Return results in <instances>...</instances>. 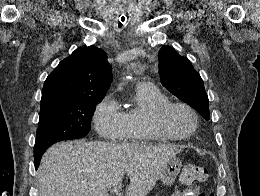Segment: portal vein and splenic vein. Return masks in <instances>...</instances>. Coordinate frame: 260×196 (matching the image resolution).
Returning a JSON list of instances; mask_svg holds the SVG:
<instances>
[{"label":"portal vein and splenic vein","instance_id":"1","mask_svg":"<svg viewBox=\"0 0 260 196\" xmlns=\"http://www.w3.org/2000/svg\"><path fill=\"white\" fill-rule=\"evenodd\" d=\"M121 188L120 186H114V188H112L111 192L112 194H119Z\"/></svg>","mask_w":260,"mask_h":196}]
</instances>
